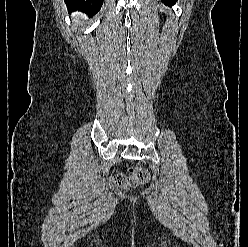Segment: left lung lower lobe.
Returning a JSON list of instances; mask_svg holds the SVG:
<instances>
[{"label":"left lung lower lobe","mask_w":248,"mask_h":247,"mask_svg":"<svg viewBox=\"0 0 248 247\" xmlns=\"http://www.w3.org/2000/svg\"><path fill=\"white\" fill-rule=\"evenodd\" d=\"M162 1L168 6H172L176 2V0H162Z\"/></svg>","instance_id":"1"}]
</instances>
